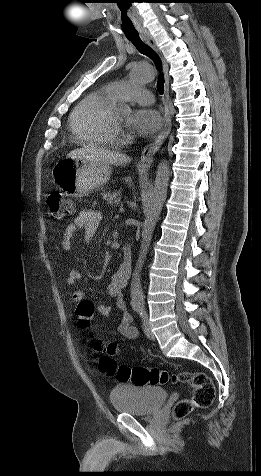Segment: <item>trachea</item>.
<instances>
[{
  "instance_id": "1",
  "label": "trachea",
  "mask_w": 261,
  "mask_h": 476,
  "mask_svg": "<svg viewBox=\"0 0 261 476\" xmlns=\"http://www.w3.org/2000/svg\"><path fill=\"white\" fill-rule=\"evenodd\" d=\"M127 39L136 47V49L141 53L146 56H148L150 59L153 60L155 65L157 67H161V59L157 55V53L147 44H145L139 35H134V36H127ZM164 77L160 75L158 81H157V90L160 94L164 93Z\"/></svg>"
}]
</instances>
